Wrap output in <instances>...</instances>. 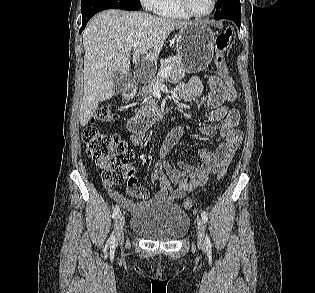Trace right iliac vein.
<instances>
[{
    "label": "right iliac vein",
    "instance_id": "1",
    "mask_svg": "<svg viewBox=\"0 0 315 293\" xmlns=\"http://www.w3.org/2000/svg\"><path fill=\"white\" fill-rule=\"evenodd\" d=\"M124 224L125 218L123 215H118L115 221V240L116 243H120L124 239Z\"/></svg>",
    "mask_w": 315,
    "mask_h": 293
}]
</instances>
